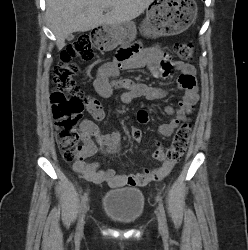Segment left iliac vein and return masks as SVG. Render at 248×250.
I'll list each match as a JSON object with an SVG mask.
<instances>
[{
  "mask_svg": "<svg viewBox=\"0 0 248 250\" xmlns=\"http://www.w3.org/2000/svg\"><path fill=\"white\" fill-rule=\"evenodd\" d=\"M157 218H158V222H159V228L161 230H163V222H162V219H161V216L159 213H157Z\"/></svg>",
  "mask_w": 248,
  "mask_h": 250,
  "instance_id": "4c4485c4",
  "label": "left iliac vein"
}]
</instances>
